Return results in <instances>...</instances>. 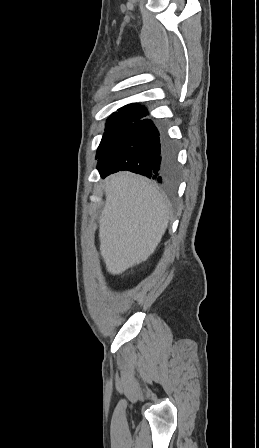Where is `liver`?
Masks as SVG:
<instances>
[{
    "label": "liver",
    "instance_id": "6515ba94",
    "mask_svg": "<svg viewBox=\"0 0 259 448\" xmlns=\"http://www.w3.org/2000/svg\"><path fill=\"white\" fill-rule=\"evenodd\" d=\"M106 204L99 218L100 254L109 274L146 262L168 226L167 198L151 180L118 172L105 180Z\"/></svg>",
    "mask_w": 259,
    "mask_h": 448
}]
</instances>
